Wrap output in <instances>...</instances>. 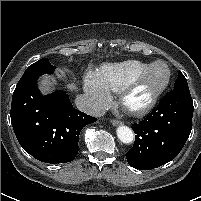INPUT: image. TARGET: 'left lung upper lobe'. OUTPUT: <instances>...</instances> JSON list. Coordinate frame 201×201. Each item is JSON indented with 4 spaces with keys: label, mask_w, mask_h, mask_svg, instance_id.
Returning a JSON list of instances; mask_svg holds the SVG:
<instances>
[{
    "label": "left lung upper lobe",
    "mask_w": 201,
    "mask_h": 201,
    "mask_svg": "<svg viewBox=\"0 0 201 201\" xmlns=\"http://www.w3.org/2000/svg\"><path fill=\"white\" fill-rule=\"evenodd\" d=\"M178 87H188L187 80L180 71L178 72V78L174 84V88Z\"/></svg>",
    "instance_id": "left-lung-upper-lobe-1"
}]
</instances>
